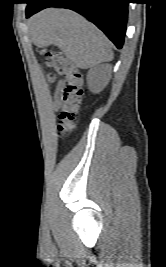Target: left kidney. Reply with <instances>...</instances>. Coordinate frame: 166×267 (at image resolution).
Wrapping results in <instances>:
<instances>
[{"label":"left kidney","mask_w":166,"mask_h":267,"mask_svg":"<svg viewBox=\"0 0 166 267\" xmlns=\"http://www.w3.org/2000/svg\"><path fill=\"white\" fill-rule=\"evenodd\" d=\"M87 85L88 89L93 93H98L104 88L103 69L101 67H96L88 71Z\"/></svg>","instance_id":"left-kidney-1"}]
</instances>
